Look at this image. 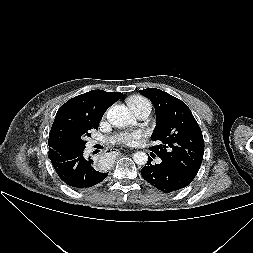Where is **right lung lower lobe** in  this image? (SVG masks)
<instances>
[{
	"label": "right lung lower lobe",
	"mask_w": 253,
	"mask_h": 253,
	"mask_svg": "<svg viewBox=\"0 0 253 253\" xmlns=\"http://www.w3.org/2000/svg\"><path fill=\"white\" fill-rule=\"evenodd\" d=\"M84 149L71 151L65 155L58 153L49 155V159L60 179L73 188L92 187L108 176V173L100 172L93 165L90 157L88 159L84 158Z\"/></svg>",
	"instance_id": "obj_1"
}]
</instances>
